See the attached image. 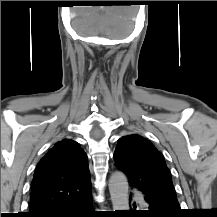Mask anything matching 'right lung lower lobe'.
<instances>
[{
    "label": "right lung lower lobe",
    "instance_id": "98d812e1",
    "mask_svg": "<svg viewBox=\"0 0 217 217\" xmlns=\"http://www.w3.org/2000/svg\"><path fill=\"white\" fill-rule=\"evenodd\" d=\"M40 217H96L92 206V194L82 201L65 203Z\"/></svg>",
    "mask_w": 217,
    "mask_h": 217
}]
</instances>
